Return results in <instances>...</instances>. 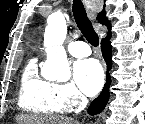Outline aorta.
I'll use <instances>...</instances> for the list:
<instances>
[{"label": "aorta", "mask_w": 145, "mask_h": 124, "mask_svg": "<svg viewBox=\"0 0 145 124\" xmlns=\"http://www.w3.org/2000/svg\"><path fill=\"white\" fill-rule=\"evenodd\" d=\"M66 34L67 24L64 14L50 15L44 33L47 60L41 70V74L46 80L66 82L71 77L69 62L63 47Z\"/></svg>", "instance_id": "1"}]
</instances>
